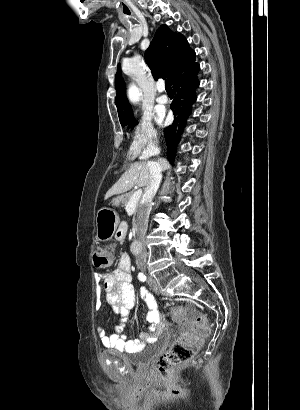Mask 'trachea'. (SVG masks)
Listing matches in <instances>:
<instances>
[{"mask_svg":"<svg viewBox=\"0 0 300 410\" xmlns=\"http://www.w3.org/2000/svg\"><path fill=\"white\" fill-rule=\"evenodd\" d=\"M165 89H166V91H172V87H171L169 79L165 80Z\"/></svg>","mask_w":300,"mask_h":410,"instance_id":"3493384b","label":"trachea"}]
</instances>
